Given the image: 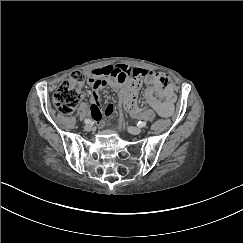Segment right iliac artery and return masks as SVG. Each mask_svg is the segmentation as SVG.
<instances>
[{"instance_id":"right-iliac-artery-1","label":"right iliac artery","mask_w":243,"mask_h":243,"mask_svg":"<svg viewBox=\"0 0 243 243\" xmlns=\"http://www.w3.org/2000/svg\"><path fill=\"white\" fill-rule=\"evenodd\" d=\"M86 124H89V123H91V120L90 119H85V121H84Z\"/></svg>"}]
</instances>
